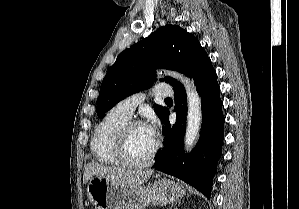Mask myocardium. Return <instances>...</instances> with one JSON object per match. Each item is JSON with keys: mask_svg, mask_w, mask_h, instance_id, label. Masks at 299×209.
<instances>
[{"mask_svg": "<svg viewBox=\"0 0 299 209\" xmlns=\"http://www.w3.org/2000/svg\"><path fill=\"white\" fill-rule=\"evenodd\" d=\"M138 126H144L142 122L136 121V120H128L126 123H124L120 129L118 130L116 137H115V147L114 152L116 159L118 161V164L128 167V168H144L149 166L154 158L156 157L159 148L160 143L155 140L154 147L148 157L144 159L141 162H132L126 157V142L127 137L131 129Z\"/></svg>", "mask_w": 299, "mask_h": 209, "instance_id": "myocardium-1", "label": "myocardium"}]
</instances>
